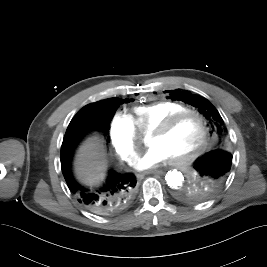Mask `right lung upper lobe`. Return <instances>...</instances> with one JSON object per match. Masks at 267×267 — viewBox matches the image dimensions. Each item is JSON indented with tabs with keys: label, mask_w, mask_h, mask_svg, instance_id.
<instances>
[{
	"label": "right lung upper lobe",
	"mask_w": 267,
	"mask_h": 267,
	"mask_svg": "<svg viewBox=\"0 0 267 267\" xmlns=\"http://www.w3.org/2000/svg\"><path fill=\"white\" fill-rule=\"evenodd\" d=\"M128 101V100H127ZM100 102H102V101H99V102H96V103H92V104H89L90 106H100Z\"/></svg>",
	"instance_id": "1"
}]
</instances>
